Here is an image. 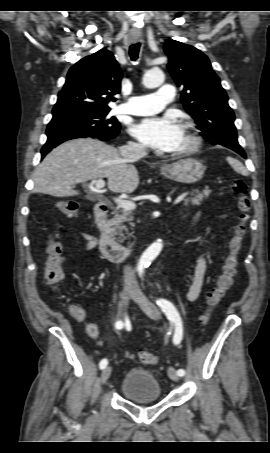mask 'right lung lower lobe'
Masks as SVG:
<instances>
[{"instance_id": "98d812e1", "label": "right lung lower lobe", "mask_w": 270, "mask_h": 453, "mask_svg": "<svg viewBox=\"0 0 270 453\" xmlns=\"http://www.w3.org/2000/svg\"><path fill=\"white\" fill-rule=\"evenodd\" d=\"M46 134L48 140L41 150L42 158L54 147L61 144L64 141L80 138V137H92L102 141H108L113 139L119 134V131L115 133H102L92 130H77L74 128H50L47 129Z\"/></svg>"}]
</instances>
